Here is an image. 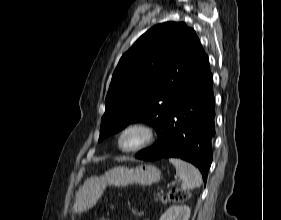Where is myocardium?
<instances>
[{
    "mask_svg": "<svg viewBox=\"0 0 281 220\" xmlns=\"http://www.w3.org/2000/svg\"><path fill=\"white\" fill-rule=\"evenodd\" d=\"M131 131H138L142 134V139L138 144L130 148H124L121 145L123 137ZM155 129L152 125L144 121H132L124 125L116 135L115 146L116 149L124 154H131L139 152L150 146L155 140Z\"/></svg>",
    "mask_w": 281,
    "mask_h": 220,
    "instance_id": "1",
    "label": "myocardium"
}]
</instances>
